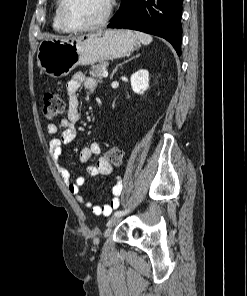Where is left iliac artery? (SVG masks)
<instances>
[{
  "label": "left iliac artery",
  "instance_id": "44dca946",
  "mask_svg": "<svg viewBox=\"0 0 247 296\" xmlns=\"http://www.w3.org/2000/svg\"><path fill=\"white\" fill-rule=\"evenodd\" d=\"M129 210H125V211H116L114 213V216H121V215H124L125 213H127Z\"/></svg>",
  "mask_w": 247,
  "mask_h": 296
}]
</instances>
